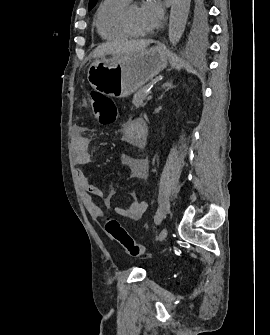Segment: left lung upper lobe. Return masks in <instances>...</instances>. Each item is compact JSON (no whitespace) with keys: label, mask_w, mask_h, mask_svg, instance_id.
<instances>
[{"label":"left lung upper lobe","mask_w":270,"mask_h":335,"mask_svg":"<svg viewBox=\"0 0 270 335\" xmlns=\"http://www.w3.org/2000/svg\"><path fill=\"white\" fill-rule=\"evenodd\" d=\"M205 0H191L190 2V16L194 28L197 31H203L206 27V11L207 7ZM96 5V0H90L88 10H91Z\"/></svg>","instance_id":"left-lung-upper-lobe-1"}]
</instances>
